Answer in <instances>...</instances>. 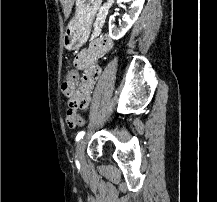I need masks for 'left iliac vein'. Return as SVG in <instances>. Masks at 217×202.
<instances>
[{
    "mask_svg": "<svg viewBox=\"0 0 217 202\" xmlns=\"http://www.w3.org/2000/svg\"><path fill=\"white\" fill-rule=\"evenodd\" d=\"M84 149H85V139H82L76 146L75 157L78 166L83 167L85 165L84 158Z\"/></svg>",
    "mask_w": 217,
    "mask_h": 202,
    "instance_id": "4c4485c4",
    "label": "left iliac vein"
}]
</instances>
